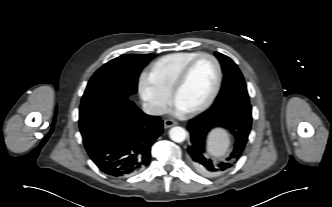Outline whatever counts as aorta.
Listing matches in <instances>:
<instances>
[{
    "instance_id": "762f6f07",
    "label": "aorta",
    "mask_w": 332,
    "mask_h": 207,
    "mask_svg": "<svg viewBox=\"0 0 332 207\" xmlns=\"http://www.w3.org/2000/svg\"><path fill=\"white\" fill-rule=\"evenodd\" d=\"M169 136L174 142L181 143L186 139V131L184 128L176 126L170 129Z\"/></svg>"
}]
</instances>
